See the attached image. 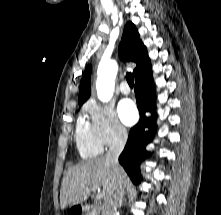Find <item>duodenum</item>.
Listing matches in <instances>:
<instances>
[{"mask_svg":"<svg viewBox=\"0 0 221 215\" xmlns=\"http://www.w3.org/2000/svg\"><path fill=\"white\" fill-rule=\"evenodd\" d=\"M87 210L88 206L86 205H76L73 208L71 215H86Z\"/></svg>","mask_w":221,"mask_h":215,"instance_id":"1","label":"duodenum"}]
</instances>
